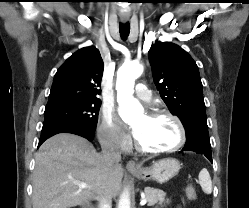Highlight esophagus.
<instances>
[{"label": "esophagus", "mask_w": 249, "mask_h": 208, "mask_svg": "<svg viewBox=\"0 0 249 208\" xmlns=\"http://www.w3.org/2000/svg\"><path fill=\"white\" fill-rule=\"evenodd\" d=\"M121 21H122L123 23H126V22H127V19H122ZM126 168H127L128 170H131V171L139 170V169H140L139 166H138V165L135 163V161H133V160H130V161L127 162Z\"/></svg>", "instance_id": "34e87169"}]
</instances>
